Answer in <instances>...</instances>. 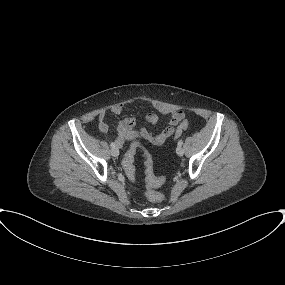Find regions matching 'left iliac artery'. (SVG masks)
I'll list each match as a JSON object with an SVG mask.
<instances>
[{"instance_id": "44dca946", "label": "left iliac artery", "mask_w": 285, "mask_h": 285, "mask_svg": "<svg viewBox=\"0 0 285 285\" xmlns=\"http://www.w3.org/2000/svg\"><path fill=\"white\" fill-rule=\"evenodd\" d=\"M183 145V141L182 140H179L178 141V146H182Z\"/></svg>"}]
</instances>
